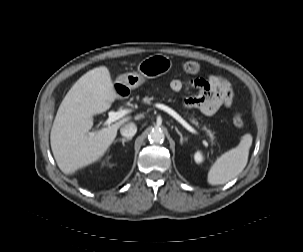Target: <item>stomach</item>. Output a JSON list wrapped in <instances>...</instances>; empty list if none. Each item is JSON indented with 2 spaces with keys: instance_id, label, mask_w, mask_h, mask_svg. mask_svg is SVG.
Here are the masks:
<instances>
[{
  "instance_id": "stomach-1",
  "label": "stomach",
  "mask_w": 303,
  "mask_h": 252,
  "mask_svg": "<svg viewBox=\"0 0 303 252\" xmlns=\"http://www.w3.org/2000/svg\"><path fill=\"white\" fill-rule=\"evenodd\" d=\"M171 67L172 61L169 57L161 54L152 55L139 63L137 72L120 75L114 86L116 88H126L130 91L139 87L146 79H153L166 74Z\"/></svg>"
}]
</instances>
